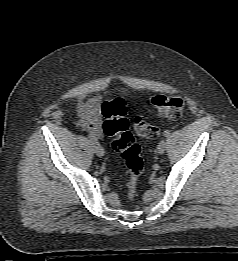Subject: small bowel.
Listing matches in <instances>:
<instances>
[{
    "mask_svg": "<svg viewBox=\"0 0 238 261\" xmlns=\"http://www.w3.org/2000/svg\"><path fill=\"white\" fill-rule=\"evenodd\" d=\"M103 104L99 96L81 99L77 103L78 125L96 139L103 137Z\"/></svg>",
    "mask_w": 238,
    "mask_h": 261,
    "instance_id": "1",
    "label": "small bowel"
}]
</instances>
